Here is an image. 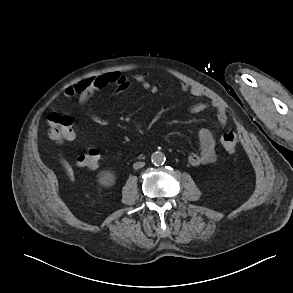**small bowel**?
<instances>
[{
  "label": "small bowel",
  "instance_id": "small-bowel-1",
  "mask_svg": "<svg viewBox=\"0 0 293 293\" xmlns=\"http://www.w3.org/2000/svg\"><path fill=\"white\" fill-rule=\"evenodd\" d=\"M135 80L142 86L143 89L149 90L152 94L157 93L158 88L155 85H152L145 76L138 75L135 77ZM129 86L130 81L125 75L120 72H110L80 80L65 90V96L71 97L76 95L77 102L79 104H84L90 100V98L97 91L111 89L113 94H118L127 90ZM179 86L182 91L190 92L196 97H202L205 95L204 91L200 87L190 85L185 81H181ZM209 108L210 105L208 103L199 102L190 108V112L192 114H199ZM216 112L219 125L225 126L227 123V114L225 108L222 106H217ZM92 121L99 126L108 125V121L97 114L92 115ZM197 136L199 140V151L197 153L189 154L188 162L192 166L213 163L217 158V154L216 142L212 132L203 128L198 131Z\"/></svg>",
  "mask_w": 293,
  "mask_h": 293
}]
</instances>
